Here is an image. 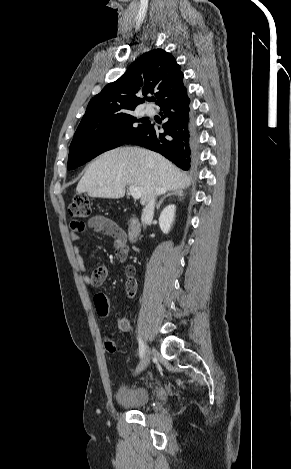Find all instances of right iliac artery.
I'll return each mask as SVG.
<instances>
[{
  "label": "right iliac artery",
  "mask_w": 291,
  "mask_h": 469,
  "mask_svg": "<svg viewBox=\"0 0 291 469\" xmlns=\"http://www.w3.org/2000/svg\"><path fill=\"white\" fill-rule=\"evenodd\" d=\"M138 342H139V356L142 357L144 354L145 345L140 338H138Z\"/></svg>",
  "instance_id": "82829eb1"
}]
</instances>
